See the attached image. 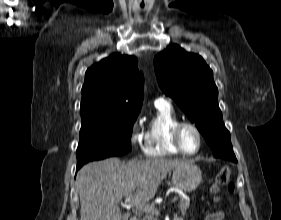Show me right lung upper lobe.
Returning a JSON list of instances; mask_svg holds the SVG:
<instances>
[{
  "instance_id": "1",
  "label": "right lung upper lobe",
  "mask_w": 281,
  "mask_h": 220,
  "mask_svg": "<svg viewBox=\"0 0 281 220\" xmlns=\"http://www.w3.org/2000/svg\"><path fill=\"white\" fill-rule=\"evenodd\" d=\"M134 56L113 54L85 74L81 118L139 114L143 101V74Z\"/></svg>"
}]
</instances>
